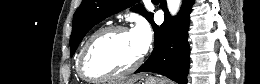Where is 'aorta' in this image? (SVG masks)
Listing matches in <instances>:
<instances>
[{
  "mask_svg": "<svg viewBox=\"0 0 260 84\" xmlns=\"http://www.w3.org/2000/svg\"><path fill=\"white\" fill-rule=\"evenodd\" d=\"M181 0H167V7L171 15H176L179 11Z\"/></svg>",
  "mask_w": 260,
  "mask_h": 84,
  "instance_id": "1",
  "label": "aorta"
}]
</instances>
